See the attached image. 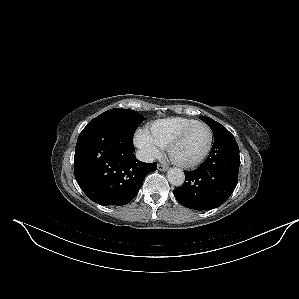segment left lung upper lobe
Segmentation results:
<instances>
[{
    "mask_svg": "<svg viewBox=\"0 0 299 299\" xmlns=\"http://www.w3.org/2000/svg\"><path fill=\"white\" fill-rule=\"evenodd\" d=\"M200 118L204 120L208 124V126L212 129L213 135H216L224 130H227L223 125H221L220 123L216 122L215 120L209 117L201 116Z\"/></svg>",
    "mask_w": 299,
    "mask_h": 299,
    "instance_id": "5c2ea615",
    "label": "left lung upper lobe"
}]
</instances>
